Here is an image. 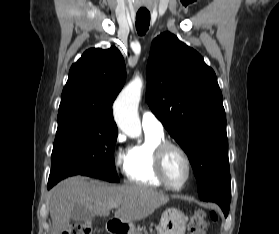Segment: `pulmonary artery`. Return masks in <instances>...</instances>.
<instances>
[{
  "mask_svg": "<svg viewBox=\"0 0 279 234\" xmlns=\"http://www.w3.org/2000/svg\"><path fill=\"white\" fill-rule=\"evenodd\" d=\"M141 123L144 131H149L157 134L163 133V125L161 121L150 110H145L142 113Z\"/></svg>",
  "mask_w": 279,
  "mask_h": 234,
  "instance_id": "e3ab8cb5",
  "label": "pulmonary artery"
}]
</instances>
